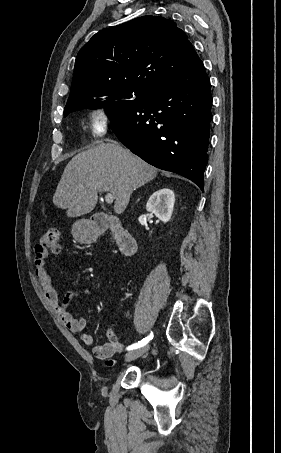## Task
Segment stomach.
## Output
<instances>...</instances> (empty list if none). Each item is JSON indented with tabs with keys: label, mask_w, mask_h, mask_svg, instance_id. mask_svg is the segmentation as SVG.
<instances>
[{
	"label": "stomach",
	"mask_w": 281,
	"mask_h": 453,
	"mask_svg": "<svg viewBox=\"0 0 281 453\" xmlns=\"http://www.w3.org/2000/svg\"><path fill=\"white\" fill-rule=\"evenodd\" d=\"M72 235L78 243H93L95 239V229L91 227L89 220H76L72 227Z\"/></svg>",
	"instance_id": "0dacf381"
}]
</instances>
